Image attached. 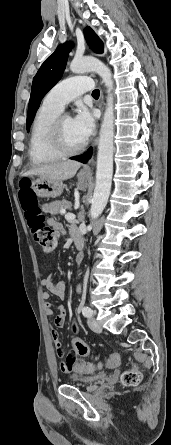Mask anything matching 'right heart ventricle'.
I'll return each instance as SVG.
<instances>
[{"label": "right heart ventricle", "mask_w": 171, "mask_h": 445, "mask_svg": "<svg viewBox=\"0 0 171 445\" xmlns=\"http://www.w3.org/2000/svg\"><path fill=\"white\" fill-rule=\"evenodd\" d=\"M61 111L43 103L34 118L30 141L29 157L33 164L42 165L61 158L54 152L48 143V131L52 121L60 115Z\"/></svg>", "instance_id": "e07e8e85"}]
</instances>
